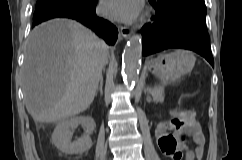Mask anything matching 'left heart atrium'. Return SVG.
Wrapping results in <instances>:
<instances>
[{
  "instance_id": "left-heart-atrium-1",
  "label": "left heart atrium",
  "mask_w": 242,
  "mask_h": 160,
  "mask_svg": "<svg viewBox=\"0 0 242 160\" xmlns=\"http://www.w3.org/2000/svg\"><path fill=\"white\" fill-rule=\"evenodd\" d=\"M101 10L107 17L123 22H129L141 14L142 0H103Z\"/></svg>"
}]
</instances>
